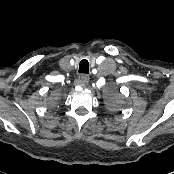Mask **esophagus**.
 <instances>
[{
	"mask_svg": "<svg viewBox=\"0 0 174 174\" xmlns=\"http://www.w3.org/2000/svg\"><path fill=\"white\" fill-rule=\"evenodd\" d=\"M89 80H90L89 75H87V74L81 75V82H82L84 85L88 84Z\"/></svg>",
	"mask_w": 174,
	"mask_h": 174,
	"instance_id": "obj_1",
	"label": "esophagus"
}]
</instances>
